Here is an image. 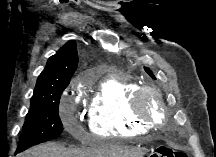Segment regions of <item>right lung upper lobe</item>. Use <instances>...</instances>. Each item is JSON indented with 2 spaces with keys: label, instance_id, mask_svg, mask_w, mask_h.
<instances>
[{
  "label": "right lung upper lobe",
  "instance_id": "right-lung-upper-lobe-1",
  "mask_svg": "<svg viewBox=\"0 0 216 157\" xmlns=\"http://www.w3.org/2000/svg\"><path fill=\"white\" fill-rule=\"evenodd\" d=\"M78 65L77 46L74 40L65 44L51 56L39 75L31 101L43 99L66 88Z\"/></svg>",
  "mask_w": 216,
  "mask_h": 157
}]
</instances>
